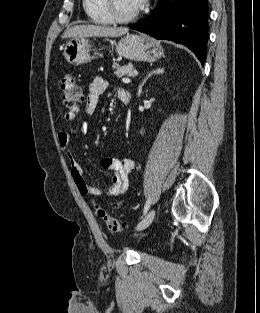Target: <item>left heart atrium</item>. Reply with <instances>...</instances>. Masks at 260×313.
Returning <instances> with one entry per match:
<instances>
[{
	"instance_id": "1",
	"label": "left heart atrium",
	"mask_w": 260,
	"mask_h": 313,
	"mask_svg": "<svg viewBox=\"0 0 260 313\" xmlns=\"http://www.w3.org/2000/svg\"><path fill=\"white\" fill-rule=\"evenodd\" d=\"M146 1H147V0H136V2H137V8H138V9H141V8L144 6V4H145Z\"/></svg>"
}]
</instances>
